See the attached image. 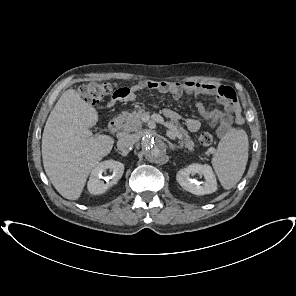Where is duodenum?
I'll return each mask as SVG.
<instances>
[{"instance_id": "1", "label": "duodenum", "mask_w": 296, "mask_h": 296, "mask_svg": "<svg viewBox=\"0 0 296 296\" xmlns=\"http://www.w3.org/2000/svg\"><path fill=\"white\" fill-rule=\"evenodd\" d=\"M108 128L112 134H116L120 128V118L117 116L113 117L109 122Z\"/></svg>"}]
</instances>
